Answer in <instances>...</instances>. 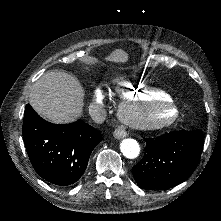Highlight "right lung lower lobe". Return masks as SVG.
Masks as SVG:
<instances>
[{"mask_svg":"<svg viewBox=\"0 0 221 221\" xmlns=\"http://www.w3.org/2000/svg\"><path fill=\"white\" fill-rule=\"evenodd\" d=\"M23 139L35 171L48 182L67 186L84 173L101 133L84 122L52 124L27 104Z\"/></svg>","mask_w":221,"mask_h":221,"instance_id":"right-lung-lower-lobe-1","label":"right lung lower lobe"}]
</instances>
